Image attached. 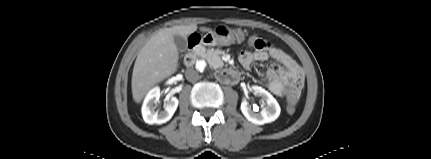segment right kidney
I'll use <instances>...</instances> for the list:
<instances>
[{
  "mask_svg": "<svg viewBox=\"0 0 431 159\" xmlns=\"http://www.w3.org/2000/svg\"><path fill=\"white\" fill-rule=\"evenodd\" d=\"M160 98V88L155 87L149 91L142 106V116L148 124H163L169 121L178 107L176 97H166L163 111H155L156 104Z\"/></svg>",
  "mask_w": 431,
  "mask_h": 159,
  "instance_id": "ca27d5eb",
  "label": "right kidney"
}]
</instances>
